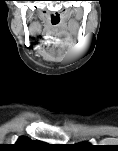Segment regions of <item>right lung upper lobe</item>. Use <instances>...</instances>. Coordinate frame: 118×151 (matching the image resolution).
I'll return each mask as SVG.
<instances>
[{
	"label": "right lung upper lobe",
	"instance_id": "right-lung-upper-lobe-1",
	"mask_svg": "<svg viewBox=\"0 0 118 151\" xmlns=\"http://www.w3.org/2000/svg\"><path fill=\"white\" fill-rule=\"evenodd\" d=\"M41 144L44 143L40 141H32L26 136H21L16 142V144H14V147L18 150H32L41 147Z\"/></svg>",
	"mask_w": 118,
	"mask_h": 151
}]
</instances>
